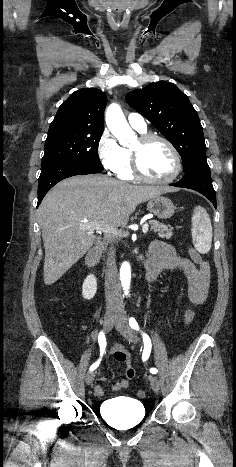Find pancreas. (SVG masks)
Segmentation results:
<instances>
[{"label": "pancreas", "mask_w": 236, "mask_h": 467, "mask_svg": "<svg viewBox=\"0 0 236 467\" xmlns=\"http://www.w3.org/2000/svg\"><path fill=\"white\" fill-rule=\"evenodd\" d=\"M149 223L151 224V230L158 233V236L160 238H166L169 240L172 237V229L168 228V226H166L165 224L160 223L156 220H150Z\"/></svg>", "instance_id": "cf45deb5"}]
</instances>
